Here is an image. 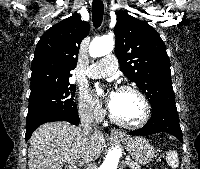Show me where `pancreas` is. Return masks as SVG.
<instances>
[{"label":"pancreas","mask_w":200,"mask_h":169,"mask_svg":"<svg viewBox=\"0 0 200 169\" xmlns=\"http://www.w3.org/2000/svg\"><path fill=\"white\" fill-rule=\"evenodd\" d=\"M130 168L132 169H141L140 168V165L137 163V162H134V161H130L129 164Z\"/></svg>","instance_id":"pancreas-1"}]
</instances>
